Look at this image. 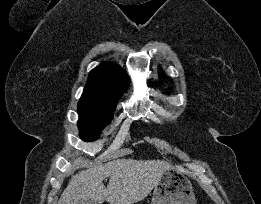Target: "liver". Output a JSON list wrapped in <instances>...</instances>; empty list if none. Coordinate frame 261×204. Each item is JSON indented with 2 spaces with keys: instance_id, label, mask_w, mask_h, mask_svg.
I'll list each match as a JSON object with an SVG mask.
<instances>
[{
  "instance_id": "obj_1",
  "label": "liver",
  "mask_w": 261,
  "mask_h": 204,
  "mask_svg": "<svg viewBox=\"0 0 261 204\" xmlns=\"http://www.w3.org/2000/svg\"><path fill=\"white\" fill-rule=\"evenodd\" d=\"M172 168L161 160L116 159L92 166L72 176L58 204H78L93 199L102 204H133L143 200ZM110 177L107 187L103 180Z\"/></svg>"
}]
</instances>
